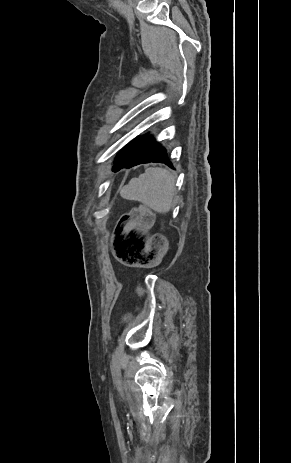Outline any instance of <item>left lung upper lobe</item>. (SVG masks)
Listing matches in <instances>:
<instances>
[{"label": "left lung upper lobe", "instance_id": "5c2ea615", "mask_svg": "<svg viewBox=\"0 0 291 463\" xmlns=\"http://www.w3.org/2000/svg\"><path fill=\"white\" fill-rule=\"evenodd\" d=\"M145 138H146V135L134 139L132 142H130L128 145H126L119 152V154L117 155V158H121V157L125 156L126 154H128L129 152H131L132 150H134L136 147H138L139 145L142 144V142L144 141Z\"/></svg>", "mask_w": 291, "mask_h": 463}]
</instances>
